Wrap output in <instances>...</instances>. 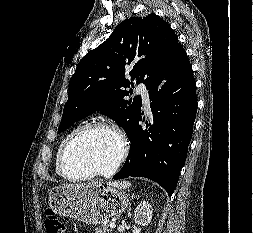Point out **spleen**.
<instances>
[{
  "mask_svg": "<svg viewBox=\"0 0 253 233\" xmlns=\"http://www.w3.org/2000/svg\"><path fill=\"white\" fill-rule=\"evenodd\" d=\"M114 186L116 187H120L123 189L129 188L131 186V184L129 182L123 181V182H115L113 183Z\"/></svg>",
  "mask_w": 253,
  "mask_h": 233,
  "instance_id": "obj_1",
  "label": "spleen"
}]
</instances>
